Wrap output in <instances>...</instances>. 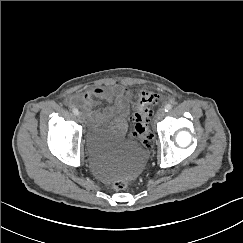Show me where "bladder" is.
I'll list each match as a JSON object with an SVG mask.
<instances>
[{
	"instance_id": "1",
	"label": "bladder",
	"mask_w": 243,
	"mask_h": 243,
	"mask_svg": "<svg viewBox=\"0 0 243 243\" xmlns=\"http://www.w3.org/2000/svg\"><path fill=\"white\" fill-rule=\"evenodd\" d=\"M86 141L90 151L99 155L112 152L117 156V176H133L142 168L143 154L140 145L127 138L113 118L92 122L86 134Z\"/></svg>"
}]
</instances>
